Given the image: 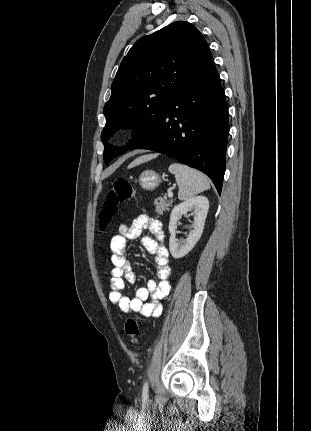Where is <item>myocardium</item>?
Here are the masks:
<instances>
[{"label":"myocardium","mask_w":311,"mask_h":431,"mask_svg":"<svg viewBox=\"0 0 311 431\" xmlns=\"http://www.w3.org/2000/svg\"><path fill=\"white\" fill-rule=\"evenodd\" d=\"M145 125L138 120L129 121L123 127V134L127 136H140L145 132Z\"/></svg>","instance_id":"f54148a6"}]
</instances>
